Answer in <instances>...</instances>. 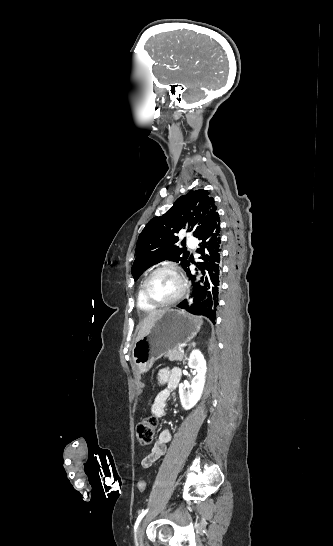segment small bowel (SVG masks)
<instances>
[{"label":"small bowel","instance_id":"small-bowel-1","mask_svg":"<svg viewBox=\"0 0 333 546\" xmlns=\"http://www.w3.org/2000/svg\"><path fill=\"white\" fill-rule=\"evenodd\" d=\"M181 379V371L178 368L163 369L158 374V384H166V388L159 392L152 404L151 412L154 416L160 417L164 413L165 401L171 391H173L179 384ZM171 440V431L169 429H162L159 432L158 440L154 444L151 451L142 459L141 465L144 468L151 467L159 458H161L167 449V444Z\"/></svg>","mask_w":333,"mask_h":546}]
</instances>
